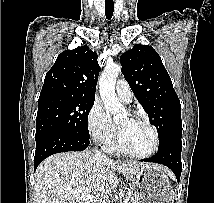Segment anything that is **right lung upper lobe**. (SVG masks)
<instances>
[{
  "mask_svg": "<svg viewBox=\"0 0 214 203\" xmlns=\"http://www.w3.org/2000/svg\"><path fill=\"white\" fill-rule=\"evenodd\" d=\"M98 75L96 52L87 45L66 50L46 74L39 99L51 96L94 99Z\"/></svg>",
  "mask_w": 214,
  "mask_h": 203,
  "instance_id": "obj_1",
  "label": "right lung upper lobe"
}]
</instances>
